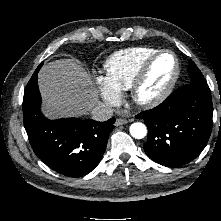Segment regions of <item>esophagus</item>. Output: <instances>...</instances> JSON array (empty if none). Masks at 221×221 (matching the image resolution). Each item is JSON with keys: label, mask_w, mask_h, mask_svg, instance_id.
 Returning <instances> with one entry per match:
<instances>
[{"label": "esophagus", "mask_w": 221, "mask_h": 221, "mask_svg": "<svg viewBox=\"0 0 221 221\" xmlns=\"http://www.w3.org/2000/svg\"><path fill=\"white\" fill-rule=\"evenodd\" d=\"M128 120L125 118H118L115 122V126H120V125H124L127 124Z\"/></svg>", "instance_id": "1"}]
</instances>
